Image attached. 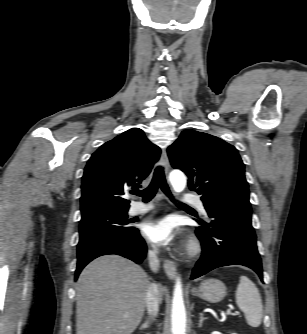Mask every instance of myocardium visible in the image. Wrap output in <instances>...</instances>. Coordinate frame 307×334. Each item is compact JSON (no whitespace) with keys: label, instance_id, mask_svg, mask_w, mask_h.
Instances as JSON below:
<instances>
[{"label":"myocardium","instance_id":"myocardium-1","mask_svg":"<svg viewBox=\"0 0 307 334\" xmlns=\"http://www.w3.org/2000/svg\"><path fill=\"white\" fill-rule=\"evenodd\" d=\"M200 251H201L200 242L195 238L190 239L187 245L186 254L190 257H193L196 256Z\"/></svg>","mask_w":307,"mask_h":334}]
</instances>
